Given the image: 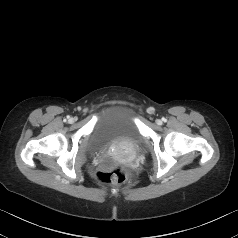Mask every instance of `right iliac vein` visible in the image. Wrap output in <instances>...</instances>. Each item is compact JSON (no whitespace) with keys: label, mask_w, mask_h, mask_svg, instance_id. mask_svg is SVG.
<instances>
[{"label":"right iliac vein","mask_w":238,"mask_h":238,"mask_svg":"<svg viewBox=\"0 0 238 238\" xmlns=\"http://www.w3.org/2000/svg\"><path fill=\"white\" fill-rule=\"evenodd\" d=\"M74 121H75L74 118H70V119H69V122H70V123H73Z\"/></svg>","instance_id":"63e3f726"}]
</instances>
